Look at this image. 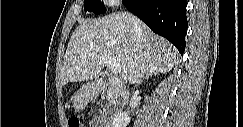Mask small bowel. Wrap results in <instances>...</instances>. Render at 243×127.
<instances>
[{
    "label": "small bowel",
    "instance_id": "1",
    "mask_svg": "<svg viewBox=\"0 0 243 127\" xmlns=\"http://www.w3.org/2000/svg\"><path fill=\"white\" fill-rule=\"evenodd\" d=\"M90 127H105V126H102L101 123H100V119L98 118H95L93 119L91 122H90Z\"/></svg>",
    "mask_w": 243,
    "mask_h": 127
}]
</instances>
